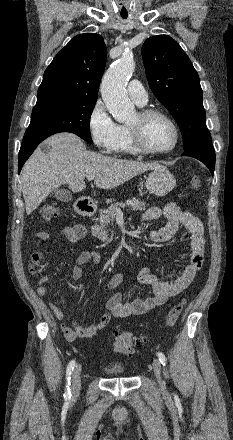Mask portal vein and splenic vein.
Returning a JSON list of instances; mask_svg holds the SVG:
<instances>
[{
	"instance_id": "18ae733b",
	"label": "portal vein and splenic vein",
	"mask_w": 233,
	"mask_h": 440,
	"mask_svg": "<svg viewBox=\"0 0 233 440\" xmlns=\"http://www.w3.org/2000/svg\"><path fill=\"white\" fill-rule=\"evenodd\" d=\"M86 177H87V179H88L89 181H91V180L94 179V175H87ZM116 214H117V215H121V214H122V211H121L120 209H117Z\"/></svg>"
}]
</instances>
